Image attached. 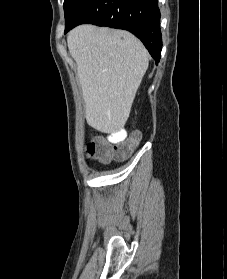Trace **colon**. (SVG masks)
<instances>
[{
  "label": "colon",
  "instance_id": "5ec220e1",
  "mask_svg": "<svg viewBox=\"0 0 227 279\" xmlns=\"http://www.w3.org/2000/svg\"><path fill=\"white\" fill-rule=\"evenodd\" d=\"M140 133L134 132L127 140L118 144L109 145L104 139H96L86 147V157L102 163L112 158L126 159L140 142Z\"/></svg>",
  "mask_w": 227,
  "mask_h": 279
}]
</instances>
